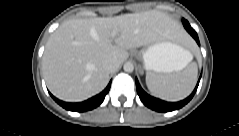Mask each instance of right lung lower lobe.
<instances>
[{"label": "right lung lower lobe", "mask_w": 239, "mask_h": 136, "mask_svg": "<svg viewBox=\"0 0 239 136\" xmlns=\"http://www.w3.org/2000/svg\"><path fill=\"white\" fill-rule=\"evenodd\" d=\"M111 86V81L109 82L108 86L98 95L79 103H68L63 102L57 98H55L52 94L51 97L63 108L66 110L74 111V112H84L88 110H92L98 107L104 100L106 94L109 92Z\"/></svg>", "instance_id": "obj_1"}]
</instances>
